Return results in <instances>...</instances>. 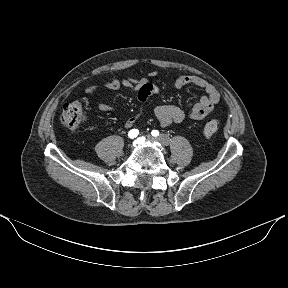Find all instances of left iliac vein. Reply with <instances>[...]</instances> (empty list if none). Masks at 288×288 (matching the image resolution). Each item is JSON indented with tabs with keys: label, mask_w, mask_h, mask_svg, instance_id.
I'll list each match as a JSON object with an SVG mask.
<instances>
[{
	"label": "left iliac vein",
	"mask_w": 288,
	"mask_h": 288,
	"mask_svg": "<svg viewBox=\"0 0 288 288\" xmlns=\"http://www.w3.org/2000/svg\"><path fill=\"white\" fill-rule=\"evenodd\" d=\"M146 138H147V139H149V140H152V139H154V138H153L151 135H149V134H148V135H146ZM157 140H158V139H157ZM158 141H159V140H158Z\"/></svg>",
	"instance_id": "4c4485c4"
}]
</instances>
